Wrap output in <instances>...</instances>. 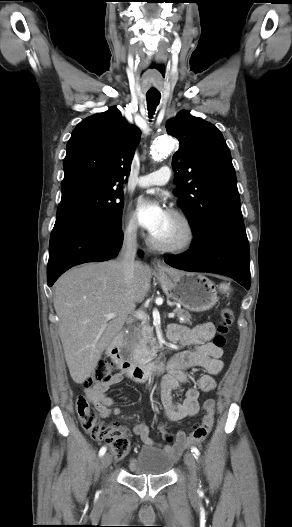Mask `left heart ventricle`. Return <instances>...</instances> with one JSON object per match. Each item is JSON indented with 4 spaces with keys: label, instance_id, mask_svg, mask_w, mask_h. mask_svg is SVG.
<instances>
[{
    "label": "left heart ventricle",
    "instance_id": "obj_1",
    "mask_svg": "<svg viewBox=\"0 0 292 527\" xmlns=\"http://www.w3.org/2000/svg\"><path fill=\"white\" fill-rule=\"evenodd\" d=\"M183 235V228L181 224L169 214L162 225V227L152 236L164 243H171L179 240Z\"/></svg>",
    "mask_w": 292,
    "mask_h": 527
}]
</instances>
